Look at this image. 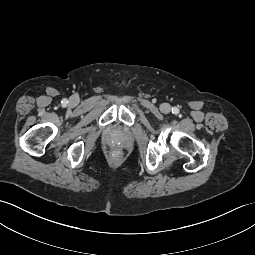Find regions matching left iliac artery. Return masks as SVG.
<instances>
[{
  "mask_svg": "<svg viewBox=\"0 0 255 255\" xmlns=\"http://www.w3.org/2000/svg\"><path fill=\"white\" fill-rule=\"evenodd\" d=\"M179 112V109L177 107L172 108V113L177 114Z\"/></svg>",
  "mask_w": 255,
  "mask_h": 255,
  "instance_id": "left-iliac-artery-1",
  "label": "left iliac artery"
}]
</instances>
